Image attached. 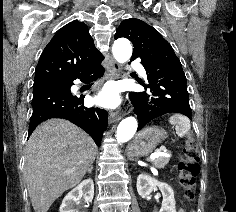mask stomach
Instances as JSON below:
<instances>
[{"label": "stomach", "instance_id": "0dacf381", "mask_svg": "<svg viewBox=\"0 0 236 212\" xmlns=\"http://www.w3.org/2000/svg\"><path fill=\"white\" fill-rule=\"evenodd\" d=\"M166 138V131L160 127L153 126L141 130L129 146V157L135 158L148 155Z\"/></svg>", "mask_w": 236, "mask_h": 212}]
</instances>
